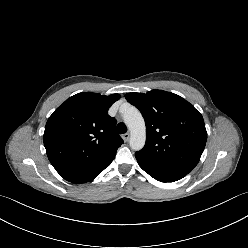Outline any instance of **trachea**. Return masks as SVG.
I'll return each mask as SVG.
<instances>
[{"instance_id":"obj_1","label":"trachea","mask_w":248,"mask_h":248,"mask_svg":"<svg viewBox=\"0 0 248 248\" xmlns=\"http://www.w3.org/2000/svg\"><path fill=\"white\" fill-rule=\"evenodd\" d=\"M117 132L119 133V134H124V133H126L127 132V127H126V125L124 124V123H119L118 125H117Z\"/></svg>"}]
</instances>
